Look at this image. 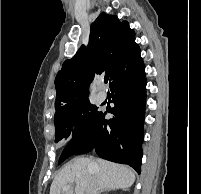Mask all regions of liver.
I'll use <instances>...</instances> for the list:
<instances>
[{"label":"liver","instance_id":"6515ba94","mask_svg":"<svg viewBox=\"0 0 201 194\" xmlns=\"http://www.w3.org/2000/svg\"><path fill=\"white\" fill-rule=\"evenodd\" d=\"M96 178L99 188L128 189L135 181V172L128 166L93 157H77L66 164L55 176L50 194H86L87 187ZM75 184V190L72 189ZM70 186L66 192L63 187Z\"/></svg>","mask_w":201,"mask_h":194}]
</instances>
